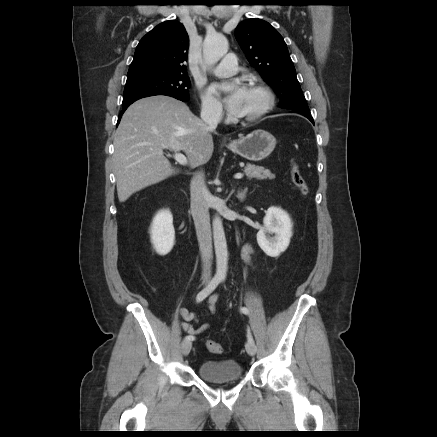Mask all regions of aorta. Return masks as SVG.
Instances as JSON below:
<instances>
[{"label":"aorta","mask_w":437,"mask_h":437,"mask_svg":"<svg viewBox=\"0 0 437 437\" xmlns=\"http://www.w3.org/2000/svg\"><path fill=\"white\" fill-rule=\"evenodd\" d=\"M228 52V41L221 34L209 35L203 43L204 68L215 65ZM213 238L216 255V275L225 278L228 264V250L222 219H213Z\"/></svg>","instance_id":"1"}]
</instances>
